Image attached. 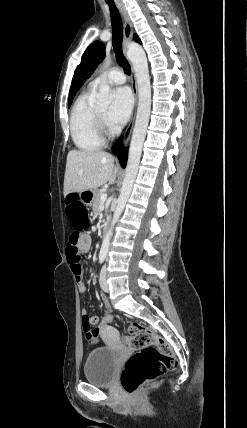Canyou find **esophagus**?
Masks as SVG:
<instances>
[{"label": "esophagus", "instance_id": "obj_1", "mask_svg": "<svg viewBox=\"0 0 247 428\" xmlns=\"http://www.w3.org/2000/svg\"><path fill=\"white\" fill-rule=\"evenodd\" d=\"M120 12H121L123 19H124V46H123V51L125 52V45L132 39L134 30H133V25L130 21V18L127 14V11L123 7H120ZM131 87H132V91L134 94L135 103H134V108H133L131 119L129 121V124H128V126L124 132L123 138H122V145H121L122 149H124L127 146L128 142L130 140V136H131L133 126H134L136 109H137V102H138L137 81H136V76H135V72H134L132 65H131Z\"/></svg>", "mask_w": 247, "mask_h": 428}]
</instances>
